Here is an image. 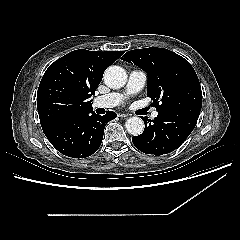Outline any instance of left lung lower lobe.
I'll return each mask as SVG.
<instances>
[{
  "mask_svg": "<svg viewBox=\"0 0 240 240\" xmlns=\"http://www.w3.org/2000/svg\"><path fill=\"white\" fill-rule=\"evenodd\" d=\"M200 111L201 107H185L158 112L153 121L144 117V132L132 137V142L146 154H167L178 148L190 135Z\"/></svg>",
  "mask_w": 240,
  "mask_h": 240,
  "instance_id": "obj_1",
  "label": "left lung lower lobe"
}]
</instances>
